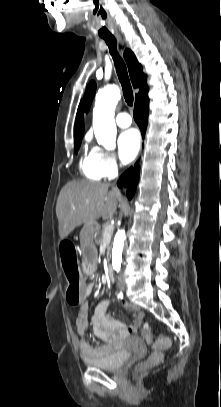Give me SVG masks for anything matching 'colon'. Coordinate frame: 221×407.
Segmentation results:
<instances>
[{"mask_svg":"<svg viewBox=\"0 0 221 407\" xmlns=\"http://www.w3.org/2000/svg\"><path fill=\"white\" fill-rule=\"evenodd\" d=\"M60 254L62 265L69 282L68 291L66 294V305L81 306L85 294L84 291H82L83 285L80 279L78 263L72 244L67 241L63 242L60 247ZM142 334L147 342L152 345L154 351L149 355L146 361L138 365L137 370L140 372L158 364L163 357L162 351L169 348L171 345L168 338L157 337L155 334H153L148 325L143 326Z\"/></svg>","mask_w":221,"mask_h":407,"instance_id":"1","label":"colon"}]
</instances>
